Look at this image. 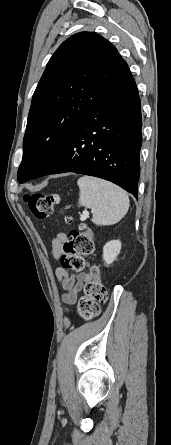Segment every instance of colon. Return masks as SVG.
<instances>
[{
	"instance_id": "5ec220e1",
	"label": "colon",
	"mask_w": 171,
	"mask_h": 445,
	"mask_svg": "<svg viewBox=\"0 0 171 445\" xmlns=\"http://www.w3.org/2000/svg\"><path fill=\"white\" fill-rule=\"evenodd\" d=\"M59 197L56 194L34 193L25 197L31 213L38 219H46L56 211ZM66 223H71V216L65 217ZM64 254L60 263L64 269L80 271L85 264L84 257L94 252L92 232L89 228L82 226L67 235L63 247ZM108 300V293L102 284L99 269L93 267L91 279L83 287V295L78 302V313L85 319H92L99 315L100 304Z\"/></svg>"
}]
</instances>
